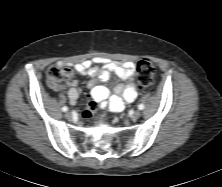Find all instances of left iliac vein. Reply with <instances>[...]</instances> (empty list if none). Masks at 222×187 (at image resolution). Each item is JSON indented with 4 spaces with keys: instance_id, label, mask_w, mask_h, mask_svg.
Returning <instances> with one entry per match:
<instances>
[{
    "instance_id": "left-iliac-vein-1",
    "label": "left iliac vein",
    "mask_w": 222,
    "mask_h": 187,
    "mask_svg": "<svg viewBox=\"0 0 222 187\" xmlns=\"http://www.w3.org/2000/svg\"><path fill=\"white\" fill-rule=\"evenodd\" d=\"M141 116V111L136 110L132 115V120H137Z\"/></svg>"
}]
</instances>
